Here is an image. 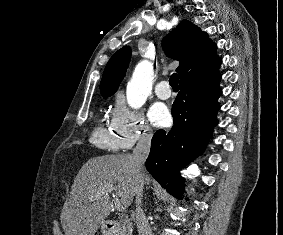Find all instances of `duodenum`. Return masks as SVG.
Returning a JSON list of instances; mask_svg holds the SVG:
<instances>
[{
    "instance_id": "duodenum-1",
    "label": "duodenum",
    "mask_w": 283,
    "mask_h": 235,
    "mask_svg": "<svg viewBox=\"0 0 283 235\" xmlns=\"http://www.w3.org/2000/svg\"><path fill=\"white\" fill-rule=\"evenodd\" d=\"M118 227V222L115 220H109L104 224L105 229H114Z\"/></svg>"
}]
</instances>
